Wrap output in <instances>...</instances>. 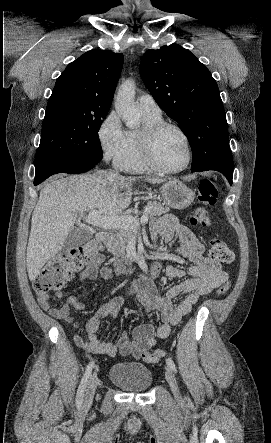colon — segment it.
Listing matches in <instances>:
<instances>
[{"label": "colon", "mask_w": 271, "mask_h": 443, "mask_svg": "<svg viewBox=\"0 0 271 443\" xmlns=\"http://www.w3.org/2000/svg\"><path fill=\"white\" fill-rule=\"evenodd\" d=\"M218 198V187L213 178L203 179L198 187V200L204 205L194 210L190 217L193 225L209 227L212 218L205 207L213 206ZM208 256L222 264H229L234 260V253L227 244L219 239L210 243ZM101 258V247L94 241H90L76 247L65 255H60L50 260L41 270L33 282V290L38 296L48 295L51 291L60 290L66 281L84 265L97 263ZM231 287L230 282H225L218 287L216 294L224 295ZM165 355L163 350L149 351L143 355L144 361L156 363Z\"/></svg>", "instance_id": "obj_1"}]
</instances>
